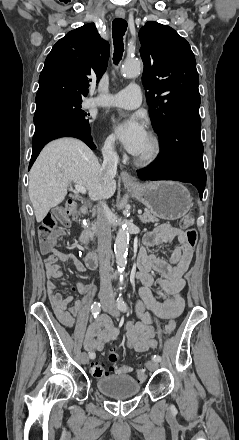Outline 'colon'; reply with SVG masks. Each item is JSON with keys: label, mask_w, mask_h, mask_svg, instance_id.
I'll return each instance as SVG.
<instances>
[{"label": "colon", "mask_w": 239, "mask_h": 440, "mask_svg": "<svg viewBox=\"0 0 239 440\" xmlns=\"http://www.w3.org/2000/svg\"><path fill=\"white\" fill-rule=\"evenodd\" d=\"M77 218V206L74 202H68L63 206L57 207L53 214L49 215L43 223L40 231V244L44 252L52 250L53 246L59 239L61 232L57 228L56 222L60 221L63 224H68L71 220ZM181 227L186 231V238L189 245L194 246L197 241V232L193 228L194 217L191 213L184 215L181 219ZM176 327L174 320H170L164 327V332L167 335H172ZM118 359V353L116 350H112L109 354V361L112 364ZM110 371L117 373H126L129 371V367L126 365L111 366L106 368L99 362H93L90 367V372L94 377L107 376ZM137 379L142 381L145 379L144 369L137 370Z\"/></svg>", "instance_id": "1"}]
</instances>
